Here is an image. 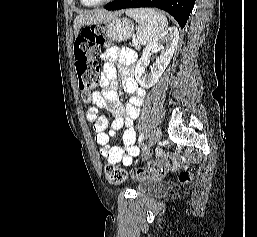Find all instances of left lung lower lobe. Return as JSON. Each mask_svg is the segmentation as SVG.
I'll return each mask as SVG.
<instances>
[{"instance_id":"obj_1","label":"left lung lower lobe","mask_w":257,"mask_h":237,"mask_svg":"<svg viewBox=\"0 0 257 237\" xmlns=\"http://www.w3.org/2000/svg\"><path fill=\"white\" fill-rule=\"evenodd\" d=\"M195 0H114L104 6L107 10L156 7L171 14L183 28L193 9Z\"/></svg>"}]
</instances>
